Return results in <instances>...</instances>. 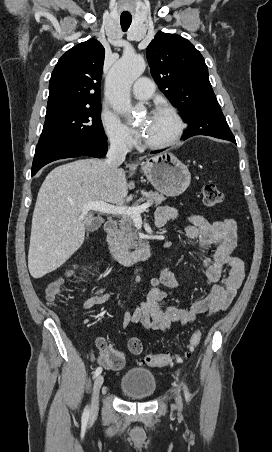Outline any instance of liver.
<instances>
[{
	"label": "liver",
	"instance_id": "liver-1",
	"mask_svg": "<svg viewBox=\"0 0 272 452\" xmlns=\"http://www.w3.org/2000/svg\"><path fill=\"white\" fill-rule=\"evenodd\" d=\"M128 193L126 172L106 160L80 159L54 168L42 183L32 217L28 268L35 279L62 266L83 244L94 220L89 202L120 203Z\"/></svg>",
	"mask_w": 272,
	"mask_h": 452
}]
</instances>
